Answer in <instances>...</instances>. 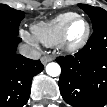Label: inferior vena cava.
<instances>
[{"label": "inferior vena cava", "mask_w": 107, "mask_h": 107, "mask_svg": "<svg viewBox=\"0 0 107 107\" xmlns=\"http://www.w3.org/2000/svg\"><path fill=\"white\" fill-rule=\"evenodd\" d=\"M19 53L26 58H30V59H34V60L39 59L41 56V54L38 50H36L35 48H33L27 44H21L19 46Z\"/></svg>", "instance_id": "602c4592"}]
</instances>
